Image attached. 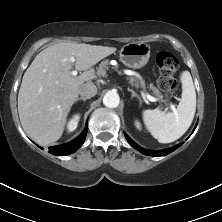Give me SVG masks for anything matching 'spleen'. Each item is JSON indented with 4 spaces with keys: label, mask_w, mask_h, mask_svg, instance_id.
I'll use <instances>...</instances> for the list:
<instances>
[{
    "label": "spleen",
    "mask_w": 222,
    "mask_h": 222,
    "mask_svg": "<svg viewBox=\"0 0 222 222\" xmlns=\"http://www.w3.org/2000/svg\"><path fill=\"white\" fill-rule=\"evenodd\" d=\"M181 83V100L175 111L165 113L158 109H147L142 113L145 126L160 143H171L179 139L192 124L196 110V93L188 71L182 73Z\"/></svg>",
    "instance_id": "spleen-1"
}]
</instances>
